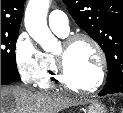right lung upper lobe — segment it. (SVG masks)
I'll list each match as a JSON object with an SVG mask.
<instances>
[{
  "mask_svg": "<svg viewBox=\"0 0 123 113\" xmlns=\"http://www.w3.org/2000/svg\"><path fill=\"white\" fill-rule=\"evenodd\" d=\"M23 0H1V33L19 31Z\"/></svg>",
  "mask_w": 123,
  "mask_h": 113,
  "instance_id": "1",
  "label": "right lung upper lobe"
}]
</instances>
